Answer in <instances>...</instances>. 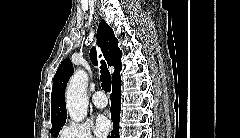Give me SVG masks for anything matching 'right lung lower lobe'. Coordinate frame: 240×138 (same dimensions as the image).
<instances>
[{
	"instance_id": "obj_1",
	"label": "right lung lower lobe",
	"mask_w": 240,
	"mask_h": 138,
	"mask_svg": "<svg viewBox=\"0 0 240 138\" xmlns=\"http://www.w3.org/2000/svg\"><path fill=\"white\" fill-rule=\"evenodd\" d=\"M112 89L113 92L111 94V118L114 123V129L111 132V136H108V138H118L121 109V79L112 83Z\"/></svg>"
}]
</instances>
